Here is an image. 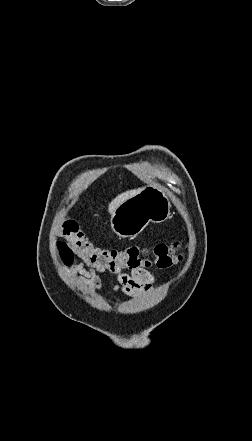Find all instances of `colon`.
Instances as JSON below:
<instances>
[{"label": "colon", "instance_id": "5ec220e1", "mask_svg": "<svg viewBox=\"0 0 252 441\" xmlns=\"http://www.w3.org/2000/svg\"><path fill=\"white\" fill-rule=\"evenodd\" d=\"M62 236L67 242H58L57 249L66 264L71 263L76 255L99 272L119 274L126 269L150 265L168 268L182 259L178 242L159 244L152 249L136 245L122 250L99 248L87 239L72 220L63 224Z\"/></svg>", "mask_w": 252, "mask_h": 441}]
</instances>
